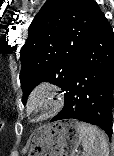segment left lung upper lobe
I'll return each mask as SVG.
<instances>
[{"mask_svg": "<svg viewBox=\"0 0 114 156\" xmlns=\"http://www.w3.org/2000/svg\"><path fill=\"white\" fill-rule=\"evenodd\" d=\"M100 8L93 0H47L21 48L22 101L41 81L67 91L77 58Z\"/></svg>", "mask_w": 114, "mask_h": 156, "instance_id": "obj_1", "label": "left lung upper lobe"}]
</instances>
